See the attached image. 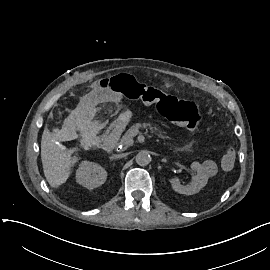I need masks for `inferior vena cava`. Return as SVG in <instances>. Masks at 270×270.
Here are the masks:
<instances>
[{
    "instance_id": "obj_1",
    "label": "inferior vena cava",
    "mask_w": 270,
    "mask_h": 270,
    "mask_svg": "<svg viewBox=\"0 0 270 270\" xmlns=\"http://www.w3.org/2000/svg\"><path fill=\"white\" fill-rule=\"evenodd\" d=\"M124 156H125V155L122 154V155L120 156V158H122V157H124ZM115 158H118V157L115 156Z\"/></svg>"
}]
</instances>
